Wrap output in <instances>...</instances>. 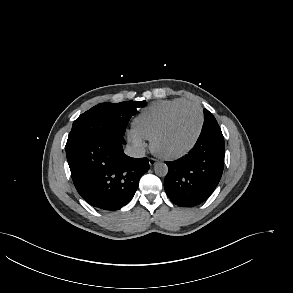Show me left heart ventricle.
<instances>
[{"label":"left heart ventricle","mask_w":293,"mask_h":293,"mask_svg":"<svg viewBox=\"0 0 293 293\" xmlns=\"http://www.w3.org/2000/svg\"><path fill=\"white\" fill-rule=\"evenodd\" d=\"M200 123L197 109L187 107L179 112L166 131L159 137L157 147L165 153H176L193 140Z\"/></svg>","instance_id":"obj_1"}]
</instances>
